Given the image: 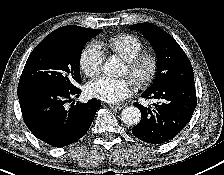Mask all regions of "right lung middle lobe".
<instances>
[{
    "instance_id": "right-lung-middle-lobe-1",
    "label": "right lung middle lobe",
    "mask_w": 224,
    "mask_h": 175,
    "mask_svg": "<svg viewBox=\"0 0 224 175\" xmlns=\"http://www.w3.org/2000/svg\"><path fill=\"white\" fill-rule=\"evenodd\" d=\"M100 29L81 28L65 36H46L32 51L24 66L19 85L41 83L72 90L81 83V52Z\"/></svg>"
}]
</instances>
